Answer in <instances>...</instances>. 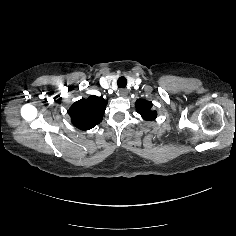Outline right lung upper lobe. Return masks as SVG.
Wrapping results in <instances>:
<instances>
[{
    "label": "right lung upper lobe",
    "instance_id": "1",
    "mask_svg": "<svg viewBox=\"0 0 236 236\" xmlns=\"http://www.w3.org/2000/svg\"><path fill=\"white\" fill-rule=\"evenodd\" d=\"M107 100L102 97L90 96L76 101L69 109L73 125L81 130H89L102 121Z\"/></svg>",
    "mask_w": 236,
    "mask_h": 236
}]
</instances>
